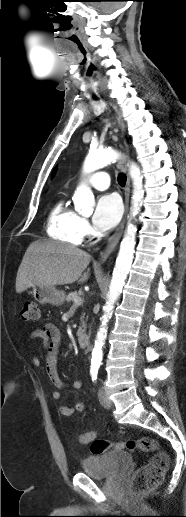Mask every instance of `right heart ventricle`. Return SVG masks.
<instances>
[{
	"label": "right heart ventricle",
	"instance_id": "1",
	"mask_svg": "<svg viewBox=\"0 0 186 517\" xmlns=\"http://www.w3.org/2000/svg\"><path fill=\"white\" fill-rule=\"evenodd\" d=\"M79 221L78 214L61 198L55 202L48 214L47 234L55 240L70 245H79L83 239Z\"/></svg>",
	"mask_w": 186,
	"mask_h": 517
}]
</instances>
